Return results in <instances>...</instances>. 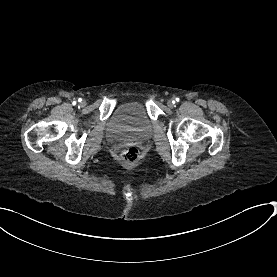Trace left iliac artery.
Returning a JSON list of instances; mask_svg holds the SVG:
<instances>
[{
  "instance_id": "obj_1",
  "label": "left iliac artery",
  "mask_w": 277,
  "mask_h": 277,
  "mask_svg": "<svg viewBox=\"0 0 277 277\" xmlns=\"http://www.w3.org/2000/svg\"><path fill=\"white\" fill-rule=\"evenodd\" d=\"M176 101L178 102V101H179V99H178V98H176Z\"/></svg>"
}]
</instances>
